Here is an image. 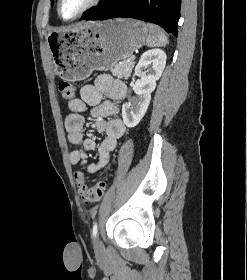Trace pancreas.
<instances>
[{"instance_id": "1", "label": "pancreas", "mask_w": 247, "mask_h": 280, "mask_svg": "<svg viewBox=\"0 0 247 280\" xmlns=\"http://www.w3.org/2000/svg\"><path fill=\"white\" fill-rule=\"evenodd\" d=\"M134 64H135V62L133 60L119 62L111 70L112 74L118 78L128 79V77H130V75H131Z\"/></svg>"}]
</instances>
